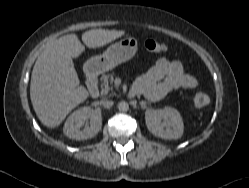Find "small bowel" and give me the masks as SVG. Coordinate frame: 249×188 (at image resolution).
<instances>
[{
	"instance_id": "c3829d8e",
	"label": "small bowel",
	"mask_w": 249,
	"mask_h": 188,
	"mask_svg": "<svg viewBox=\"0 0 249 188\" xmlns=\"http://www.w3.org/2000/svg\"><path fill=\"white\" fill-rule=\"evenodd\" d=\"M197 80L184 73L183 64L178 60L159 59L136 80L134 89L151 101H158L173 90L193 89Z\"/></svg>"
}]
</instances>
